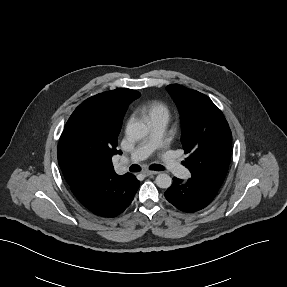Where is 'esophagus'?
Segmentation results:
<instances>
[{"mask_svg": "<svg viewBox=\"0 0 287 287\" xmlns=\"http://www.w3.org/2000/svg\"><path fill=\"white\" fill-rule=\"evenodd\" d=\"M158 173H159L158 171H149V170L143 171V174L145 176L155 175V174H158Z\"/></svg>", "mask_w": 287, "mask_h": 287, "instance_id": "obj_1", "label": "esophagus"}]
</instances>
